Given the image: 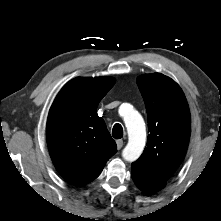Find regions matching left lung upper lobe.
Here are the masks:
<instances>
[{
  "instance_id": "obj_1",
  "label": "left lung upper lobe",
  "mask_w": 221,
  "mask_h": 221,
  "mask_svg": "<svg viewBox=\"0 0 221 221\" xmlns=\"http://www.w3.org/2000/svg\"><path fill=\"white\" fill-rule=\"evenodd\" d=\"M145 102L149 135L146 148L134 162L167 181L183 161L190 139V111L182 89L171 78L146 74L137 78Z\"/></svg>"
}]
</instances>
